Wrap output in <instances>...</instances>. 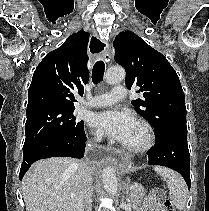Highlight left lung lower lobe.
I'll return each instance as SVG.
<instances>
[{
  "label": "left lung lower lobe",
  "instance_id": "0a47b994",
  "mask_svg": "<svg viewBox=\"0 0 209 211\" xmlns=\"http://www.w3.org/2000/svg\"><path fill=\"white\" fill-rule=\"evenodd\" d=\"M148 164L161 165L179 172L190 189L189 150L187 145V127L169 130L147 153Z\"/></svg>",
  "mask_w": 209,
  "mask_h": 211
}]
</instances>
